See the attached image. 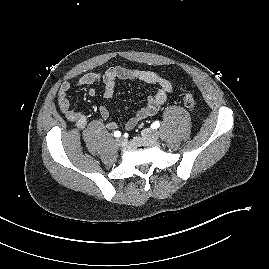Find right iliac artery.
Returning a JSON list of instances; mask_svg holds the SVG:
<instances>
[{"label":"right iliac artery","instance_id":"right-iliac-artery-1","mask_svg":"<svg viewBox=\"0 0 269 269\" xmlns=\"http://www.w3.org/2000/svg\"><path fill=\"white\" fill-rule=\"evenodd\" d=\"M114 136L115 137H120L121 136V132L120 131H115L114 132Z\"/></svg>","mask_w":269,"mask_h":269}]
</instances>
